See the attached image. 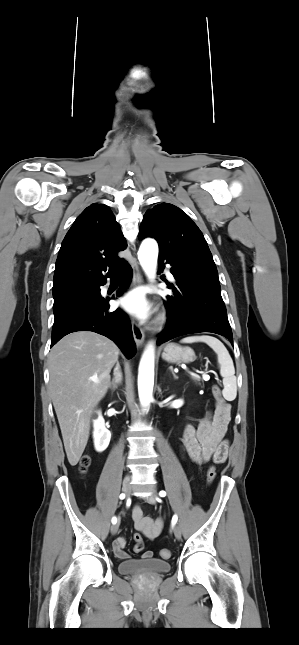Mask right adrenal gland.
Wrapping results in <instances>:
<instances>
[{"label": "right adrenal gland", "instance_id": "obj_1", "mask_svg": "<svg viewBox=\"0 0 299 645\" xmlns=\"http://www.w3.org/2000/svg\"><path fill=\"white\" fill-rule=\"evenodd\" d=\"M114 375H115V377L113 378L112 382L110 383V389L113 392L122 383V373H121L120 365H119L118 362H117L116 368L114 370Z\"/></svg>", "mask_w": 299, "mask_h": 645}]
</instances>
